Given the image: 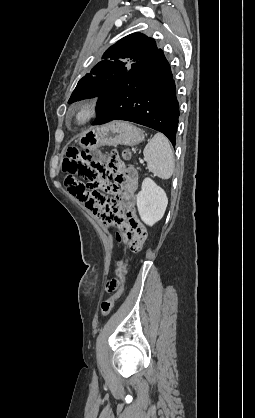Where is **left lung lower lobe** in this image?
Here are the masks:
<instances>
[{
  "label": "left lung lower lobe",
  "mask_w": 255,
  "mask_h": 418,
  "mask_svg": "<svg viewBox=\"0 0 255 418\" xmlns=\"http://www.w3.org/2000/svg\"><path fill=\"white\" fill-rule=\"evenodd\" d=\"M176 92L170 65L158 49L99 97L93 125L131 121L162 132L175 146L179 118Z\"/></svg>",
  "instance_id": "left-lung-lower-lobe-1"
}]
</instances>
